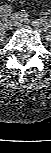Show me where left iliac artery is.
Returning a JSON list of instances; mask_svg holds the SVG:
<instances>
[{
  "mask_svg": "<svg viewBox=\"0 0 51 153\" xmlns=\"http://www.w3.org/2000/svg\"><path fill=\"white\" fill-rule=\"evenodd\" d=\"M21 17L24 18V20H28L29 22H31V20H29V15L25 10H21ZM34 25L40 26L43 29H47L50 24H51V20L49 18H41L38 20H34L31 22Z\"/></svg>",
  "mask_w": 51,
  "mask_h": 153,
  "instance_id": "1",
  "label": "left iliac artery"
}]
</instances>
